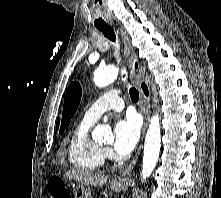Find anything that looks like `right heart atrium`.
<instances>
[{"mask_svg":"<svg viewBox=\"0 0 221 198\" xmlns=\"http://www.w3.org/2000/svg\"><path fill=\"white\" fill-rule=\"evenodd\" d=\"M104 154L106 157H110L111 156V152L109 149H104Z\"/></svg>","mask_w":221,"mask_h":198,"instance_id":"right-heart-atrium-1","label":"right heart atrium"}]
</instances>
